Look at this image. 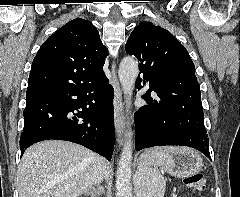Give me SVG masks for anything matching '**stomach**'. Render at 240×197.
Wrapping results in <instances>:
<instances>
[{
    "instance_id": "stomach-1",
    "label": "stomach",
    "mask_w": 240,
    "mask_h": 197,
    "mask_svg": "<svg viewBox=\"0 0 240 197\" xmlns=\"http://www.w3.org/2000/svg\"><path fill=\"white\" fill-rule=\"evenodd\" d=\"M139 174L136 188L140 196L145 195L146 181L143 173L153 167L160 166L169 174L177 178H184L200 172L203 161L199 154L188 148H177L166 158L150 150L145 151L137 160Z\"/></svg>"
}]
</instances>
